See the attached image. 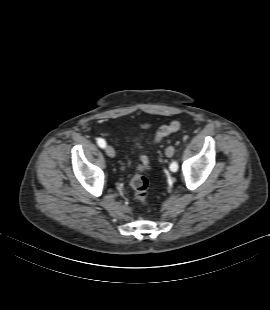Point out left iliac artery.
Here are the masks:
<instances>
[{
	"instance_id": "1",
	"label": "left iliac artery",
	"mask_w": 270,
	"mask_h": 310,
	"mask_svg": "<svg viewBox=\"0 0 270 310\" xmlns=\"http://www.w3.org/2000/svg\"><path fill=\"white\" fill-rule=\"evenodd\" d=\"M171 171L175 172L178 169V163L176 161H173L170 165Z\"/></svg>"
}]
</instances>
